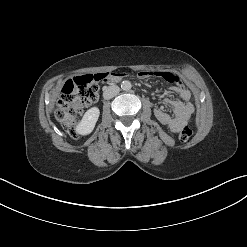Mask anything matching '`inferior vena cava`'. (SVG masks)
<instances>
[{"label": "inferior vena cava", "mask_w": 247, "mask_h": 247, "mask_svg": "<svg viewBox=\"0 0 247 247\" xmlns=\"http://www.w3.org/2000/svg\"><path fill=\"white\" fill-rule=\"evenodd\" d=\"M120 88L116 85L108 86L103 88V97L104 99H111L114 96L118 95Z\"/></svg>", "instance_id": "1"}]
</instances>
